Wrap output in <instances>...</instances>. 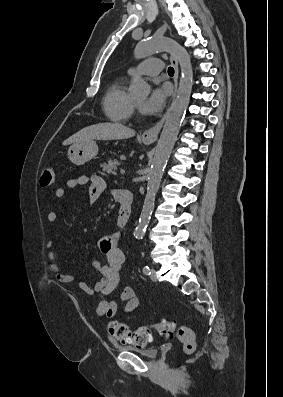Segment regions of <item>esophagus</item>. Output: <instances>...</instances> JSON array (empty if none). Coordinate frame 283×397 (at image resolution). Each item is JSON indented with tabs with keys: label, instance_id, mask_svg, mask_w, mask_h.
I'll use <instances>...</instances> for the list:
<instances>
[{
	"label": "esophagus",
	"instance_id": "34e87169",
	"mask_svg": "<svg viewBox=\"0 0 283 397\" xmlns=\"http://www.w3.org/2000/svg\"><path fill=\"white\" fill-rule=\"evenodd\" d=\"M170 62L174 68V94H173V99L175 98L177 87H178V75H179V68H178V61L177 58L174 55L170 56ZM169 109H167L166 113L164 116L158 121L154 126L151 128L147 129L143 134H142V140L145 142H154L158 138V134L160 133V130L162 129V126L166 120V117L168 115Z\"/></svg>",
	"mask_w": 283,
	"mask_h": 397
}]
</instances>
